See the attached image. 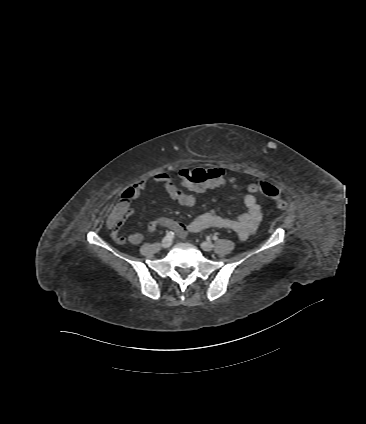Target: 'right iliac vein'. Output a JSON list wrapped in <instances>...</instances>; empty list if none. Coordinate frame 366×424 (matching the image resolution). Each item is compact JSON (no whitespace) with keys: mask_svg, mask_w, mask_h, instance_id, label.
<instances>
[{"mask_svg":"<svg viewBox=\"0 0 366 424\" xmlns=\"http://www.w3.org/2000/svg\"><path fill=\"white\" fill-rule=\"evenodd\" d=\"M171 244H172V239L171 238H169V237H164L163 238V240H162V242H161V245H162V247H164V248H168V247H170L171 246Z\"/></svg>","mask_w":366,"mask_h":424,"instance_id":"1","label":"right iliac vein"}]
</instances>
